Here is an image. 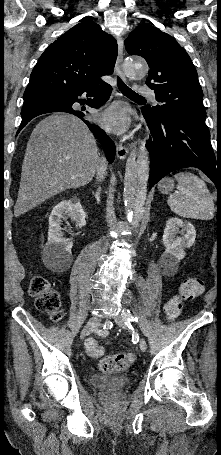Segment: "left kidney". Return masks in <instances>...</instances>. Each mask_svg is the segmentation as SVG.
I'll use <instances>...</instances> for the list:
<instances>
[{
  "instance_id": "5707ae66",
  "label": "left kidney",
  "mask_w": 221,
  "mask_h": 455,
  "mask_svg": "<svg viewBox=\"0 0 221 455\" xmlns=\"http://www.w3.org/2000/svg\"><path fill=\"white\" fill-rule=\"evenodd\" d=\"M178 233L182 237L176 236ZM195 238L196 231L191 223L183 222L179 218H170L166 222L162 238L166 250L161 256V262L168 267L177 266L186 255L184 249L190 248L194 244Z\"/></svg>"
}]
</instances>
